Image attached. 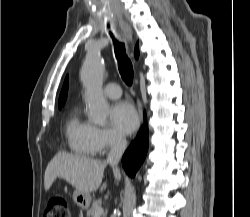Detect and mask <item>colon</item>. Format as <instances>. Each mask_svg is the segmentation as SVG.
Masks as SVG:
<instances>
[{
    "instance_id": "1",
    "label": "colon",
    "mask_w": 250,
    "mask_h": 217,
    "mask_svg": "<svg viewBox=\"0 0 250 217\" xmlns=\"http://www.w3.org/2000/svg\"><path fill=\"white\" fill-rule=\"evenodd\" d=\"M44 217H70L66 199L61 195L51 196L48 200Z\"/></svg>"
}]
</instances>
